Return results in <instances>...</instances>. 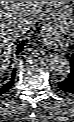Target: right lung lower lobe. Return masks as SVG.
Segmentation results:
<instances>
[{
    "instance_id": "1",
    "label": "right lung lower lobe",
    "mask_w": 74,
    "mask_h": 122,
    "mask_svg": "<svg viewBox=\"0 0 74 122\" xmlns=\"http://www.w3.org/2000/svg\"><path fill=\"white\" fill-rule=\"evenodd\" d=\"M24 42H21L17 47L16 54L20 53L23 50ZM14 77H15V70L12 73L11 78L6 82H0V95L8 91L14 83Z\"/></svg>"
}]
</instances>
